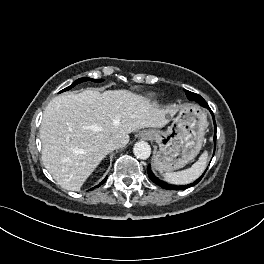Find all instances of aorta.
Instances as JSON below:
<instances>
[{
  "label": "aorta",
  "instance_id": "762f6f07",
  "mask_svg": "<svg viewBox=\"0 0 264 264\" xmlns=\"http://www.w3.org/2000/svg\"><path fill=\"white\" fill-rule=\"evenodd\" d=\"M133 153L137 158L145 160L151 154V147L147 142L139 141L134 144Z\"/></svg>",
  "mask_w": 264,
  "mask_h": 264
}]
</instances>
